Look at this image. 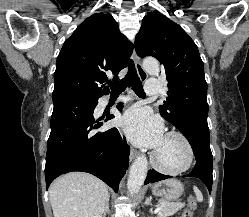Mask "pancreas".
Returning a JSON list of instances; mask_svg holds the SVG:
<instances>
[{
	"label": "pancreas",
	"instance_id": "pancreas-1",
	"mask_svg": "<svg viewBox=\"0 0 249 217\" xmlns=\"http://www.w3.org/2000/svg\"><path fill=\"white\" fill-rule=\"evenodd\" d=\"M157 206L162 207V209L158 212V217H169L181 210L185 206V203H168L165 200H159Z\"/></svg>",
	"mask_w": 249,
	"mask_h": 217
}]
</instances>
